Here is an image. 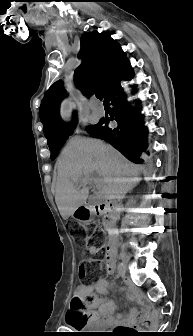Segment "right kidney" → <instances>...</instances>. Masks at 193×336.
<instances>
[{"label": "right kidney", "instance_id": "ca27d5eb", "mask_svg": "<svg viewBox=\"0 0 193 336\" xmlns=\"http://www.w3.org/2000/svg\"><path fill=\"white\" fill-rule=\"evenodd\" d=\"M131 203H133V199L129 200V202H128V204H131Z\"/></svg>", "mask_w": 193, "mask_h": 336}]
</instances>
